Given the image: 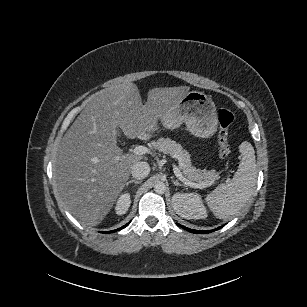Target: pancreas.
<instances>
[{
  "mask_svg": "<svg viewBox=\"0 0 307 307\" xmlns=\"http://www.w3.org/2000/svg\"><path fill=\"white\" fill-rule=\"evenodd\" d=\"M157 149L164 154L171 156L177 155L183 164L181 167L183 175L190 181L199 184L204 183L205 187H208L220 178L219 173L215 170L208 171L194 167L190 160V154L179 143H176L170 138H159L157 140Z\"/></svg>",
  "mask_w": 307,
  "mask_h": 307,
  "instance_id": "pancreas-1",
  "label": "pancreas"
}]
</instances>
